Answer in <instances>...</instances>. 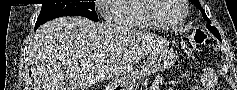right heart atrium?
Instances as JSON below:
<instances>
[{"instance_id":"obj_1","label":"right heart atrium","mask_w":237,"mask_h":90,"mask_svg":"<svg viewBox=\"0 0 237 90\" xmlns=\"http://www.w3.org/2000/svg\"><path fill=\"white\" fill-rule=\"evenodd\" d=\"M104 3H111L112 0H103Z\"/></svg>"}]
</instances>
